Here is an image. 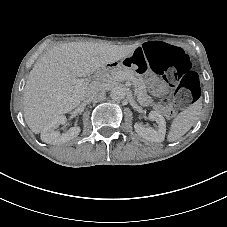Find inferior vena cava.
I'll return each mask as SVG.
<instances>
[{
  "mask_svg": "<svg viewBox=\"0 0 227 227\" xmlns=\"http://www.w3.org/2000/svg\"><path fill=\"white\" fill-rule=\"evenodd\" d=\"M87 94L93 96V98L97 101L102 100L105 89L100 87L99 82H94L88 86Z\"/></svg>",
  "mask_w": 227,
  "mask_h": 227,
  "instance_id": "obj_1",
  "label": "inferior vena cava"
}]
</instances>
